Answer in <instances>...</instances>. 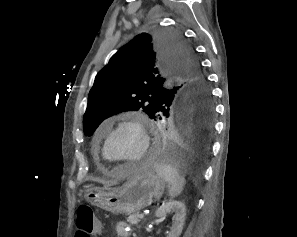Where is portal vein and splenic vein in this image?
I'll return each instance as SVG.
<instances>
[{
  "label": "portal vein and splenic vein",
  "mask_w": 297,
  "mask_h": 237,
  "mask_svg": "<svg viewBox=\"0 0 297 237\" xmlns=\"http://www.w3.org/2000/svg\"><path fill=\"white\" fill-rule=\"evenodd\" d=\"M144 217V214H140V218H143Z\"/></svg>",
  "instance_id": "18ae733b"
}]
</instances>
